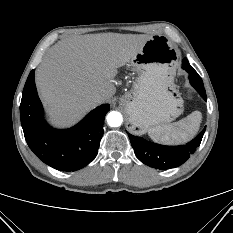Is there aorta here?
Instances as JSON below:
<instances>
[{"label": "aorta", "instance_id": "aorta-1", "mask_svg": "<svg viewBox=\"0 0 233 233\" xmlns=\"http://www.w3.org/2000/svg\"><path fill=\"white\" fill-rule=\"evenodd\" d=\"M123 122V117L120 112L111 111L107 115V123L111 127H119Z\"/></svg>", "mask_w": 233, "mask_h": 233}]
</instances>
